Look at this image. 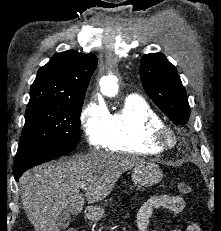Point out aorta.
Instances as JSON below:
<instances>
[{
  "label": "aorta",
  "instance_id": "1",
  "mask_svg": "<svg viewBox=\"0 0 221 231\" xmlns=\"http://www.w3.org/2000/svg\"><path fill=\"white\" fill-rule=\"evenodd\" d=\"M101 92L108 96L114 97L118 92L117 79L113 75H108L100 80Z\"/></svg>",
  "mask_w": 221,
  "mask_h": 231
}]
</instances>
